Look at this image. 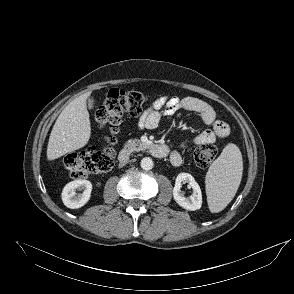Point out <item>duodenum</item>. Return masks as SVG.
Returning <instances> with one entry per match:
<instances>
[{
  "mask_svg": "<svg viewBox=\"0 0 294 294\" xmlns=\"http://www.w3.org/2000/svg\"><path fill=\"white\" fill-rule=\"evenodd\" d=\"M169 148L165 144H153L149 147V152L156 158H163L168 154ZM129 150L123 149L120 151L118 160L121 164H126L129 161Z\"/></svg>",
  "mask_w": 294,
  "mask_h": 294,
  "instance_id": "1",
  "label": "duodenum"
}]
</instances>
